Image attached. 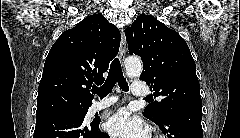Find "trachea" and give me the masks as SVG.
<instances>
[{"instance_id": "obj_1", "label": "trachea", "mask_w": 240, "mask_h": 138, "mask_svg": "<svg viewBox=\"0 0 240 138\" xmlns=\"http://www.w3.org/2000/svg\"><path fill=\"white\" fill-rule=\"evenodd\" d=\"M116 83L119 84V87L123 91L127 92L129 90L128 83L123 75L118 58H115L112 61L105 83L100 88H93L92 92L96 93L100 98H103L112 91ZM146 100L149 99L146 98Z\"/></svg>"}]
</instances>
